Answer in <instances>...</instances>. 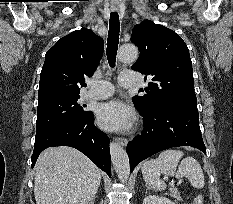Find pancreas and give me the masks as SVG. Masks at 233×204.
<instances>
[{
  "instance_id": "cf45deb5",
  "label": "pancreas",
  "mask_w": 233,
  "mask_h": 204,
  "mask_svg": "<svg viewBox=\"0 0 233 204\" xmlns=\"http://www.w3.org/2000/svg\"><path fill=\"white\" fill-rule=\"evenodd\" d=\"M169 194L170 196H172L173 198L177 199V200H181V197L179 196V192L177 188L171 187L169 189Z\"/></svg>"
}]
</instances>
